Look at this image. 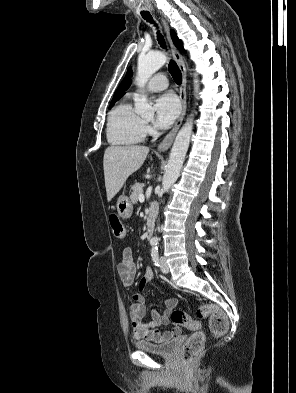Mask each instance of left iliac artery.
Here are the masks:
<instances>
[{"label": "left iliac artery", "mask_w": 296, "mask_h": 393, "mask_svg": "<svg viewBox=\"0 0 296 393\" xmlns=\"http://www.w3.org/2000/svg\"><path fill=\"white\" fill-rule=\"evenodd\" d=\"M152 260L155 266H159V253H158V246L154 245L151 250Z\"/></svg>", "instance_id": "44dca946"}]
</instances>
